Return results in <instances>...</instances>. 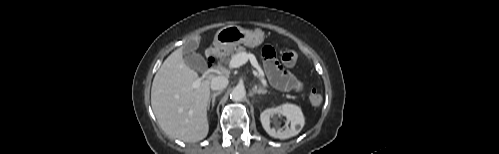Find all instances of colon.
Segmentation results:
<instances>
[{
  "mask_svg": "<svg viewBox=\"0 0 499 154\" xmlns=\"http://www.w3.org/2000/svg\"><path fill=\"white\" fill-rule=\"evenodd\" d=\"M281 59L284 64L288 66H293L297 63L299 59V53L296 49L288 47L283 50ZM322 99H323L322 94L315 89H313L309 94V101L314 106L320 105Z\"/></svg>",
  "mask_w": 499,
  "mask_h": 154,
  "instance_id": "5ec220e1",
  "label": "colon"
}]
</instances>
